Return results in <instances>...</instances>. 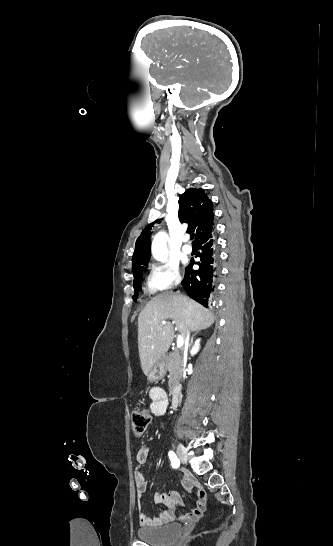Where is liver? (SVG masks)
Segmentation results:
<instances>
[{
    "label": "liver",
    "instance_id": "1",
    "mask_svg": "<svg viewBox=\"0 0 333 546\" xmlns=\"http://www.w3.org/2000/svg\"><path fill=\"white\" fill-rule=\"evenodd\" d=\"M172 319L174 326L162 320ZM215 317L196 301L173 292H163L152 298L138 317V349L141 368L148 376L151 368L168 351L177 330L186 337L187 331L209 328Z\"/></svg>",
    "mask_w": 333,
    "mask_h": 546
}]
</instances>
